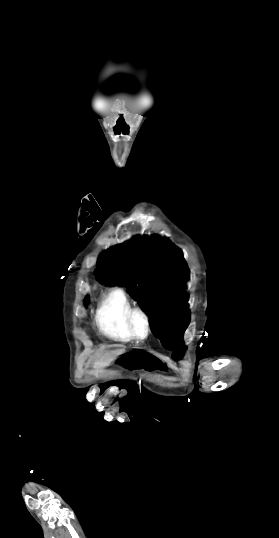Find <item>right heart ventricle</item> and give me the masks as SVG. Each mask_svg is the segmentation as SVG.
<instances>
[{
    "instance_id": "e07e8e85",
    "label": "right heart ventricle",
    "mask_w": 279,
    "mask_h": 538,
    "mask_svg": "<svg viewBox=\"0 0 279 538\" xmlns=\"http://www.w3.org/2000/svg\"><path fill=\"white\" fill-rule=\"evenodd\" d=\"M92 234L99 239L103 232L97 229L93 222H88L83 227V235ZM126 292L121 288H113L105 293L97 307L95 321L100 331L117 340L129 341L130 334L126 327V316L128 311L133 308Z\"/></svg>"
}]
</instances>
